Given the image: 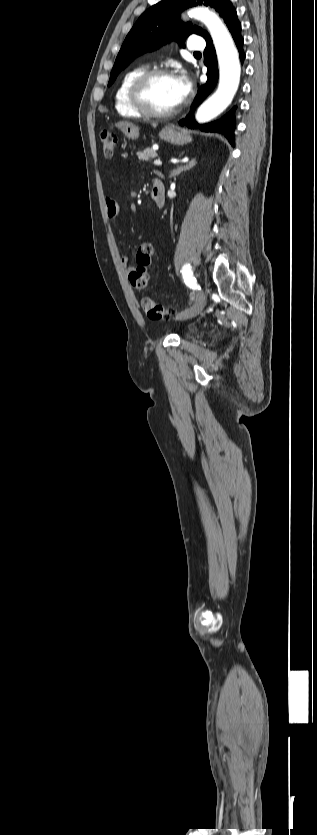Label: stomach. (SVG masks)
<instances>
[{"instance_id":"stomach-1","label":"stomach","mask_w":317,"mask_h":835,"mask_svg":"<svg viewBox=\"0 0 317 835\" xmlns=\"http://www.w3.org/2000/svg\"><path fill=\"white\" fill-rule=\"evenodd\" d=\"M123 134L129 139H136L139 137V128L134 124L126 121H120L115 124ZM159 137L171 144L185 145L192 141L191 135L186 130H180L172 126H166L159 132Z\"/></svg>"}]
</instances>
